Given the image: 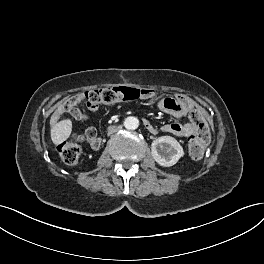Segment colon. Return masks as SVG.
<instances>
[{
  "instance_id": "1",
  "label": "colon",
  "mask_w": 264,
  "mask_h": 264,
  "mask_svg": "<svg viewBox=\"0 0 264 264\" xmlns=\"http://www.w3.org/2000/svg\"><path fill=\"white\" fill-rule=\"evenodd\" d=\"M140 95L141 92L139 90L128 87L102 88L74 95L68 102L78 104L85 101L88 106L113 105L135 100ZM189 120L195 127V132L188 142L189 152L192 157L201 158L209 144L210 134L205 120L198 109H192L189 112ZM82 140L83 136L77 135L72 140L64 141L57 146V150L66 164L75 165L79 161L81 148L78 142Z\"/></svg>"
}]
</instances>
